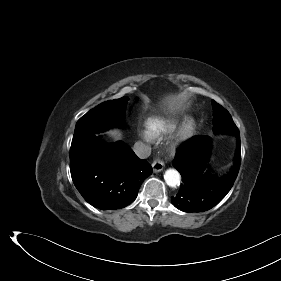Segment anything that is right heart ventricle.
Listing matches in <instances>:
<instances>
[{
	"label": "right heart ventricle",
	"mask_w": 281,
	"mask_h": 281,
	"mask_svg": "<svg viewBox=\"0 0 281 281\" xmlns=\"http://www.w3.org/2000/svg\"><path fill=\"white\" fill-rule=\"evenodd\" d=\"M179 120L162 116H152L146 121V135L150 139H160L172 133L178 126Z\"/></svg>",
	"instance_id": "1"
}]
</instances>
